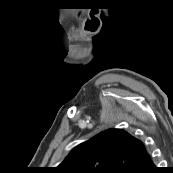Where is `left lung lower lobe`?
I'll return each instance as SVG.
<instances>
[{
	"label": "left lung lower lobe",
	"mask_w": 173,
	"mask_h": 173,
	"mask_svg": "<svg viewBox=\"0 0 173 173\" xmlns=\"http://www.w3.org/2000/svg\"><path fill=\"white\" fill-rule=\"evenodd\" d=\"M138 173H160L159 168L154 165L152 158Z\"/></svg>",
	"instance_id": "0a47b994"
}]
</instances>
